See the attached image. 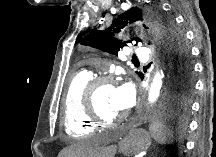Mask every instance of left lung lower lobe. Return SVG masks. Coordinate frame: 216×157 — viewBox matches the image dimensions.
I'll list each match as a JSON object with an SVG mask.
<instances>
[{"instance_id": "left-lung-lower-lobe-1", "label": "left lung lower lobe", "mask_w": 216, "mask_h": 157, "mask_svg": "<svg viewBox=\"0 0 216 157\" xmlns=\"http://www.w3.org/2000/svg\"><path fill=\"white\" fill-rule=\"evenodd\" d=\"M193 88V79L189 83L182 85L173 75L168 85L166 107L161 113V118L164 121L171 122L174 130L179 133L185 128V116L189 108Z\"/></svg>"}]
</instances>
